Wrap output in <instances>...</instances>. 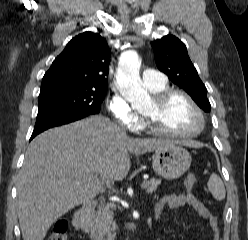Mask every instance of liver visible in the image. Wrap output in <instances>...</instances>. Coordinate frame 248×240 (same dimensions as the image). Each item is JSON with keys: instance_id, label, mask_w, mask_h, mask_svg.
Segmentation results:
<instances>
[{"instance_id": "1", "label": "liver", "mask_w": 248, "mask_h": 240, "mask_svg": "<svg viewBox=\"0 0 248 240\" xmlns=\"http://www.w3.org/2000/svg\"><path fill=\"white\" fill-rule=\"evenodd\" d=\"M164 139L131 138L102 116L49 129L30 143L17 185V213L24 240H43L51 225L92 201L130 169L129 153L174 145Z\"/></svg>"}]
</instances>
